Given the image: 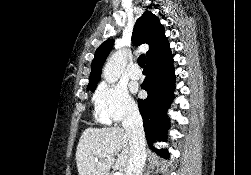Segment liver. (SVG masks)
Instances as JSON below:
<instances>
[{"mask_svg": "<svg viewBox=\"0 0 251 175\" xmlns=\"http://www.w3.org/2000/svg\"><path fill=\"white\" fill-rule=\"evenodd\" d=\"M129 139L123 127H87L77 145L75 159L79 175H105L111 167L127 171L131 155ZM118 151L121 153L115 159L112 155Z\"/></svg>", "mask_w": 251, "mask_h": 175, "instance_id": "6515ba94", "label": "liver"}]
</instances>
